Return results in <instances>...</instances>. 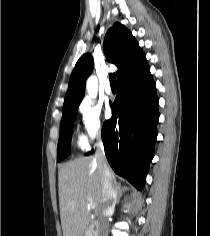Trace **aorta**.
<instances>
[{
  "mask_svg": "<svg viewBox=\"0 0 210 236\" xmlns=\"http://www.w3.org/2000/svg\"><path fill=\"white\" fill-rule=\"evenodd\" d=\"M86 89L89 97L96 98L98 91V80L96 76H90L86 82Z\"/></svg>",
  "mask_w": 210,
  "mask_h": 236,
  "instance_id": "aorta-1",
  "label": "aorta"
}]
</instances>
